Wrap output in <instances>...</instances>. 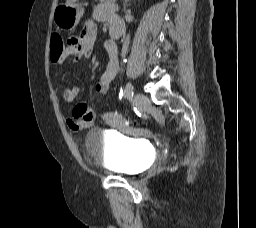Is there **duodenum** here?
Returning a JSON list of instances; mask_svg holds the SVG:
<instances>
[{
    "instance_id": "410a0bca",
    "label": "duodenum",
    "mask_w": 256,
    "mask_h": 228,
    "mask_svg": "<svg viewBox=\"0 0 256 228\" xmlns=\"http://www.w3.org/2000/svg\"><path fill=\"white\" fill-rule=\"evenodd\" d=\"M110 35L113 39L117 40L119 38H121L122 34H123V25L121 22H116V23H113L111 26H110Z\"/></svg>"
}]
</instances>
